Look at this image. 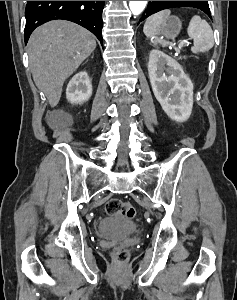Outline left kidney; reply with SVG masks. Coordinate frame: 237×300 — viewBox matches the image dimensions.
Here are the masks:
<instances>
[{
  "label": "left kidney",
  "instance_id": "5707ae66",
  "mask_svg": "<svg viewBox=\"0 0 237 300\" xmlns=\"http://www.w3.org/2000/svg\"><path fill=\"white\" fill-rule=\"evenodd\" d=\"M148 73L152 91L166 115L177 123L187 121L193 107V83L181 65L169 55L153 49Z\"/></svg>",
  "mask_w": 237,
  "mask_h": 300
}]
</instances>
